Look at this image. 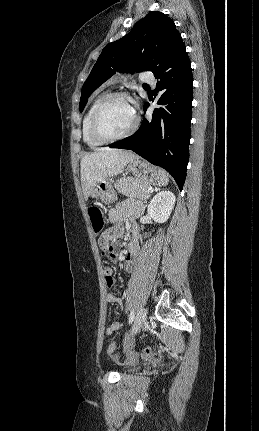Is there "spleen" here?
Listing matches in <instances>:
<instances>
[{
    "label": "spleen",
    "mask_w": 259,
    "mask_h": 431,
    "mask_svg": "<svg viewBox=\"0 0 259 431\" xmlns=\"http://www.w3.org/2000/svg\"><path fill=\"white\" fill-rule=\"evenodd\" d=\"M158 172H159V175H160V183L162 185H167L168 182H169V175H168V173L165 170L161 169V168L158 169Z\"/></svg>",
    "instance_id": "3e777b00"
}]
</instances>
